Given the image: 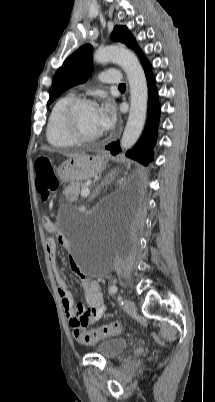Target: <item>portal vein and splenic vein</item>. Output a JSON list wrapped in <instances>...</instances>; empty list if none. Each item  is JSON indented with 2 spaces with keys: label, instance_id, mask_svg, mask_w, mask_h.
<instances>
[{
  "label": "portal vein and splenic vein",
  "instance_id": "1",
  "mask_svg": "<svg viewBox=\"0 0 215 402\" xmlns=\"http://www.w3.org/2000/svg\"><path fill=\"white\" fill-rule=\"evenodd\" d=\"M89 193H90V189H89L88 187H85V188H83V189L81 190V195H82L83 197H87V196L89 195Z\"/></svg>",
  "mask_w": 215,
  "mask_h": 402
}]
</instances>
